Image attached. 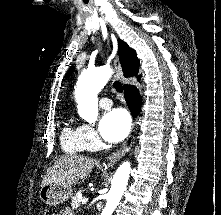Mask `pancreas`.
Masks as SVG:
<instances>
[{
    "label": "pancreas",
    "mask_w": 221,
    "mask_h": 215,
    "mask_svg": "<svg viewBox=\"0 0 221 215\" xmlns=\"http://www.w3.org/2000/svg\"><path fill=\"white\" fill-rule=\"evenodd\" d=\"M82 193V191L76 193L73 198H72V203H71V207L72 209H77L80 207L81 205V198L79 197V195Z\"/></svg>",
    "instance_id": "1"
}]
</instances>
